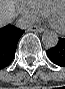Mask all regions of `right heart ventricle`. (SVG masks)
<instances>
[{"label": "right heart ventricle", "mask_w": 65, "mask_h": 89, "mask_svg": "<svg viewBox=\"0 0 65 89\" xmlns=\"http://www.w3.org/2000/svg\"><path fill=\"white\" fill-rule=\"evenodd\" d=\"M31 1H33L36 5H38L40 8L46 11L50 3L58 0H31Z\"/></svg>", "instance_id": "1"}]
</instances>
